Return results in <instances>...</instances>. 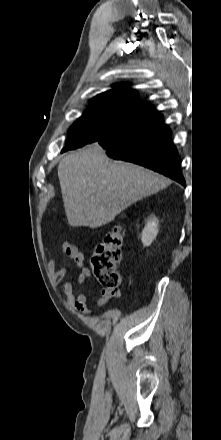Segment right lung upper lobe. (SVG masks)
<instances>
[{
    "instance_id": "1",
    "label": "right lung upper lobe",
    "mask_w": 221,
    "mask_h": 440,
    "mask_svg": "<svg viewBox=\"0 0 221 440\" xmlns=\"http://www.w3.org/2000/svg\"><path fill=\"white\" fill-rule=\"evenodd\" d=\"M138 92L117 84L113 89L101 93L92 99L93 103H111L121 110H133L135 113L150 106L149 102L138 100Z\"/></svg>"
}]
</instances>
